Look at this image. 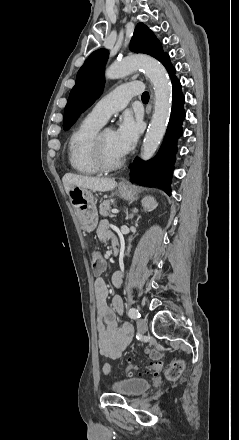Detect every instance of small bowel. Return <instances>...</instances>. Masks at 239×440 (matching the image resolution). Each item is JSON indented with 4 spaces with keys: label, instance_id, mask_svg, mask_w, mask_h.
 Instances as JSON below:
<instances>
[{
    "label": "small bowel",
    "instance_id": "c3829d8e",
    "mask_svg": "<svg viewBox=\"0 0 239 440\" xmlns=\"http://www.w3.org/2000/svg\"><path fill=\"white\" fill-rule=\"evenodd\" d=\"M100 241L117 244V237L106 221L100 223L97 229ZM123 274L116 272L112 277L114 286L120 287ZM97 307V334L100 354L106 358L117 359L123 354L130 343L133 331L126 322H120L117 314H122L123 304L119 296L112 300V308L107 304L108 288L102 277H98L94 284Z\"/></svg>",
    "mask_w": 239,
    "mask_h": 440
}]
</instances>
